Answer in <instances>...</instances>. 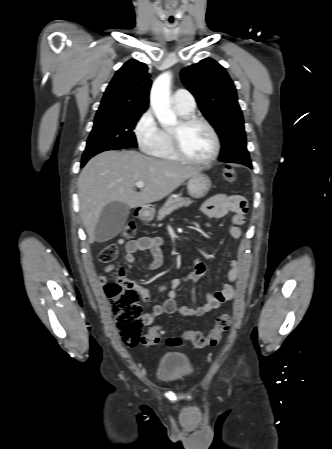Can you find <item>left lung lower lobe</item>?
<instances>
[{"label": "left lung lower lobe", "mask_w": 332, "mask_h": 449, "mask_svg": "<svg viewBox=\"0 0 332 449\" xmlns=\"http://www.w3.org/2000/svg\"><path fill=\"white\" fill-rule=\"evenodd\" d=\"M248 167L252 168V165H249Z\"/></svg>", "instance_id": "1"}]
</instances>
